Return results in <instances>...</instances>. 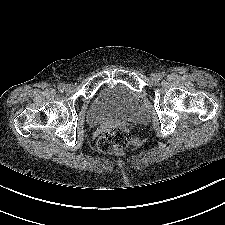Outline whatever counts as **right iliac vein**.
Returning <instances> with one entry per match:
<instances>
[{"mask_svg": "<svg viewBox=\"0 0 225 225\" xmlns=\"http://www.w3.org/2000/svg\"><path fill=\"white\" fill-rule=\"evenodd\" d=\"M66 89H67L68 91H71V90L73 89V85H72V84H68V85L66 86Z\"/></svg>", "mask_w": 225, "mask_h": 225, "instance_id": "63e3f726", "label": "right iliac vein"}]
</instances>
